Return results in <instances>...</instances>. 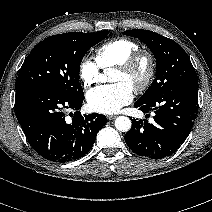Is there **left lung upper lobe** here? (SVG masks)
I'll use <instances>...</instances> for the list:
<instances>
[{
    "label": "left lung upper lobe",
    "mask_w": 212,
    "mask_h": 212,
    "mask_svg": "<svg viewBox=\"0 0 212 212\" xmlns=\"http://www.w3.org/2000/svg\"><path fill=\"white\" fill-rule=\"evenodd\" d=\"M123 34L143 41L156 58V78L138 102L149 103L177 87L198 83L189 56L175 41L142 29L128 30Z\"/></svg>",
    "instance_id": "1"
}]
</instances>
